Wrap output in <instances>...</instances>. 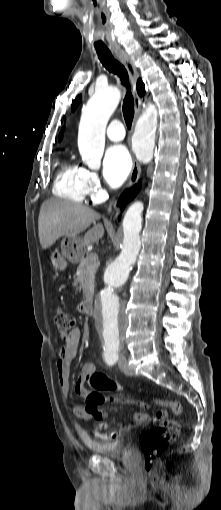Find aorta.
<instances>
[{"instance_id":"762f6f07","label":"aorta","mask_w":221,"mask_h":510,"mask_svg":"<svg viewBox=\"0 0 221 510\" xmlns=\"http://www.w3.org/2000/svg\"><path fill=\"white\" fill-rule=\"evenodd\" d=\"M120 91L114 86L97 88L84 107L78 131V148L82 160L91 168L98 169L105 146V130L110 116L120 101ZM157 110L149 105L136 123L132 138L133 151L138 160L149 163L153 157ZM144 205L134 202L125 213L123 245L121 253L106 267L102 285L95 297L94 315L101 341L105 348L121 347L127 327L124 303L117 290L126 283L130 268L141 248L140 231Z\"/></svg>"}]
</instances>
